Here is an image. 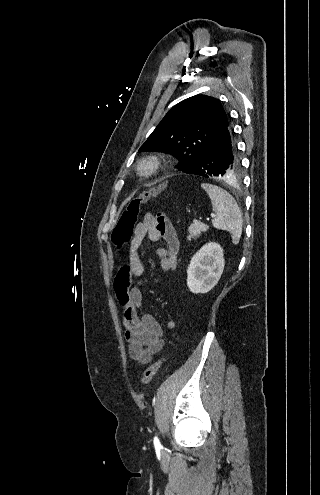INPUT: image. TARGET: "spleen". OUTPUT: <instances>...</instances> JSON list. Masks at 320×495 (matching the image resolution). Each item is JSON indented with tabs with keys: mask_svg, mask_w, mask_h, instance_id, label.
Listing matches in <instances>:
<instances>
[{
	"mask_svg": "<svg viewBox=\"0 0 320 495\" xmlns=\"http://www.w3.org/2000/svg\"><path fill=\"white\" fill-rule=\"evenodd\" d=\"M201 187L211 199L212 209L216 214L212 225L216 229L228 231L232 237V243L237 245L242 235V214L235 199L224 189L202 183Z\"/></svg>",
	"mask_w": 320,
	"mask_h": 495,
	"instance_id": "1",
	"label": "spleen"
}]
</instances>
